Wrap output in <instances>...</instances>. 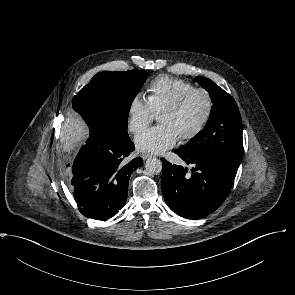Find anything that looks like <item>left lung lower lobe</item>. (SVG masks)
I'll list each match as a JSON object with an SVG mask.
<instances>
[{"label":"left lung lower lobe","instance_id":"0a47b994","mask_svg":"<svg viewBox=\"0 0 295 295\" xmlns=\"http://www.w3.org/2000/svg\"><path fill=\"white\" fill-rule=\"evenodd\" d=\"M187 164H193L191 175L187 168L161 159V187L165 202L179 216L201 219L214 212L227 198L234 184L238 167L212 155L185 156L175 150Z\"/></svg>","mask_w":295,"mask_h":295}]
</instances>
